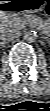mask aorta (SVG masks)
Segmentation results:
<instances>
[{
    "label": "aorta",
    "mask_w": 50,
    "mask_h": 111,
    "mask_svg": "<svg viewBox=\"0 0 50 111\" xmlns=\"http://www.w3.org/2000/svg\"><path fill=\"white\" fill-rule=\"evenodd\" d=\"M37 39V33L35 31H27L24 34V40L28 43H33Z\"/></svg>",
    "instance_id": "obj_1"
}]
</instances>
